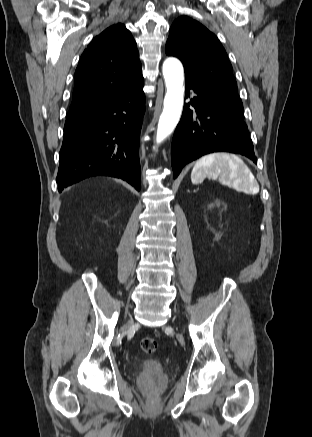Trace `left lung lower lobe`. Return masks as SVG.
<instances>
[{"mask_svg":"<svg viewBox=\"0 0 312 437\" xmlns=\"http://www.w3.org/2000/svg\"><path fill=\"white\" fill-rule=\"evenodd\" d=\"M191 89L196 96L184 106L172 140L174 179L187 163L212 152L237 153L257 163L244 116L223 98L186 80V97L190 96ZM190 105L195 112L189 109Z\"/></svg>","mask_w":312,"mask_h":437,"instance_id":"left-lung-lower-lobe-1","label":"left lung lower lobe"}]
</instances>
